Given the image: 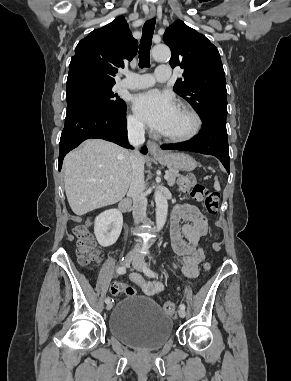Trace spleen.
Listing matches in <instances>:
<instances>
[{"instance_id": "obj_1", "label": "spleen", "mask_w": 291, "mask_h": 381, "mask_svg": "<svg viewBox=\"0 0 291 381\" xmlns=\"http://www.w3.org/2000/svg\"><path fill=\"white\" fill-rule=\"evenodd\" d=\"M214 189H215L216 191H220V189H221L217 177H215Z\"/></svg>"}]
</instances>
